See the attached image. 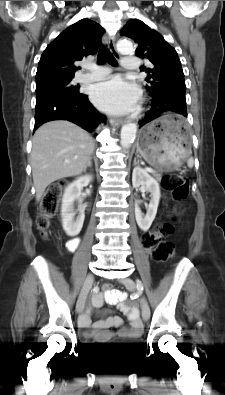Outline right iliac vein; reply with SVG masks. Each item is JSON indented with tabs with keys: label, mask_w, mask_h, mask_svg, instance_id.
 <instances>
[{
	"label": "right iliac vein",
	"mask_w": 225,
	"mask_h": 395,
	"mask_svg": "<svg viewBox=\"0 0 225 395\" xmlns=\"http://www.w3.org/2000/svg\"><path fill=\"white\" fill-rule=\"evenodd\" d=\"M92 283H93V275L89 274L84 282L83 288H82L79 298L77 300L76 312L79 314L84 309L85 301H86L87 295L92 287Z\"/></svg>",
	"instance_id": "63e3f726"
}]
</instances>
